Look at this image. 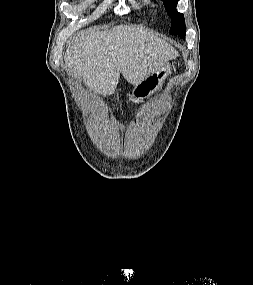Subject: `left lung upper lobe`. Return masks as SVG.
<instances>
[{
    "instance_id": "5c2ea615",
    "label": "left lung upper lobe",
    "mask_w": 253,
    "mask_h": 285,
    "mask_svg": "<svg viewBox=\"0 0 253 285\" xmlns=\"http://www.w3.org/2000/svg\"><path fill=\"white\" fill-rule=\"evenodd\" d=\"M178 0H164V5L167 9L169 16L172 17V25L170 28V34L178 35L185 39L186 27L185 20L182 13L177 12Z\"/></svg>"
}]
</instances>
